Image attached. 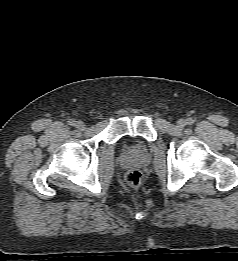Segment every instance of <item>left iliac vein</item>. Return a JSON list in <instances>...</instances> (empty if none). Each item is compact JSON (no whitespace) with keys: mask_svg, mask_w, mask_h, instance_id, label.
Here are the masks:
<instances>
[{"mask_svg":"<svg viewBox=\"0 0 238 261\" xmlns=\"http://www.w3.org/2000/svg\"><path fill=\"white\" fill-rule=\"evenodd\" d=\"M185 125H186V121H185L184 119H180V120L177 121V127H178L179 129L184 128Z\"/></svg>","mask_w":238,"mask_h":261,"instance_id":"4c4485c4","label":"left iliac vein"}]
</instances>
